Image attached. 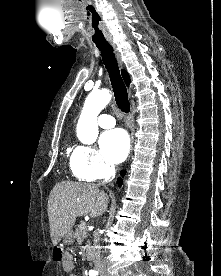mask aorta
<instances>
[{
  "label": "aorta",
  "mask_w": 221,
  "mask_h": 276,
  "mask_svg": "<svg viewBox=\"0 0 221 276\" xmlns=\"http://www.w3.org/2000/svg\"><path fill=\"white\" fill-rule=\"evenodd\" d=\"M111 100L110 91L91 92L85 100L77 123V137L83 144H93L98 137L97 117Z\"/></svg>",
  "instance_id": "obj_1"
}]
</instances>
